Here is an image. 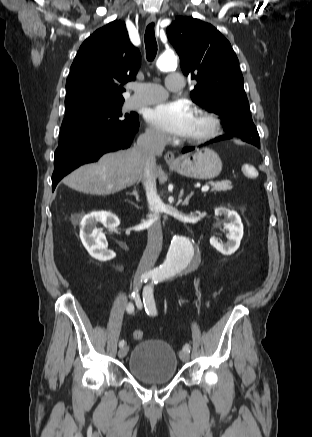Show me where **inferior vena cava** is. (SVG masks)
<instances>
[{"label": "inferior vena cava", "mask_w": 312, "mask_h": 437, "mask_svg": "<svg viewBox=\"0 0 312 437\" xmlns=\"http://www.w3.org/2000/svg\"><path fill=\"white\" fill-rule=\"evenodd\" d=\"M166 145V136L154 129L147 130L137 139V151L144 162V171L140 177L146 191L151 216L148 220V242L138 265L139 273L150 270L156 263L162 249V229L160 209L162 201L156 188V156L161 154Z\"/></svg>", "instance_id": "inferior-vena-cava-1"}]
</instances>
